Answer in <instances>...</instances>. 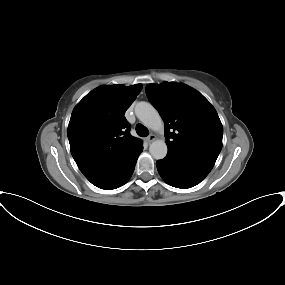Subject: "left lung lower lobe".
<instances>
[{"instance_id": "1", "label": "left lung lower lobe", "mask_w": 285, "mask_h": 285, "mask_svg": "<svg viewBox=\"0 0 285 285\" xmlns=\"http://www.w3.org/2000/svg\"><path fill=\"white\" fill-rule=\"evenodd\" d=\"M214 165L174 152L157 161L160 176L171 186L186 189L200 183Z\"/></svg>"}]
</instances>
